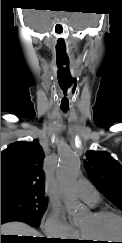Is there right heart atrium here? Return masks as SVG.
Here are the masks:
<instances>
[{
  "label": "right heart atrium",
  "instance_id": "d8ad5b80",
  "mask_svg": "<svg viewBox=\"0 0 122 243\" xmlns=\"http://www.w3.org/2000/svg\"><path fill=\"white\" fill-rule=\"evenodd\" d=\"M44 232L55 239L75 238L77 232L61 217L57 208H53L43 225Z\"/></svg>",
  "mask_w": 122,
  "mask_h": 243
}]
</instances>
